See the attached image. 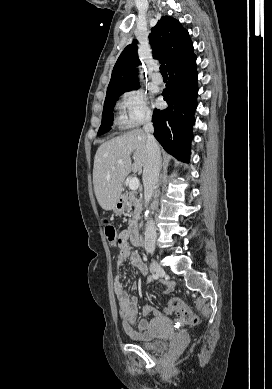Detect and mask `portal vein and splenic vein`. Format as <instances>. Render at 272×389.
Instances as JSON below:
<instances>
[{
	"instance_id": "1",
	"label": "portal vein and splenic vein",
	"mask_w": 272,
	"mask_h": 389,
	"mask_svg": "<svg viewBox=\"0 0 272 389\" xmlns=\"http://www.w3.org/2000/svg\"><path fill=\"white\" fill-rule=\"evenodd\" d=\"M121 162H122V160H118V163H121ZM139 185H140V182H139L138 178L134 177L129 182V189L132 191H135L139 188Z\"/></svg>"
}]
</instances>
